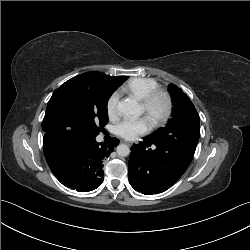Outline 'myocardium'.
I'll list each match as a JSON object with an SVG mask.
<instances>
[{
	"instance_id": "obj_1",
	"label": "myocardium",
	"mask_w": 250,
	"mask_h": 250,
	"mask_svg": "<svg viewBox=\"0 0 250 250\" xmlns=\"http://www.w3.org/2000/svg\"><path fill=\"white\" fill-rule=\"evenodd\" d=\"M161 99L163 101V110L159 114L153 112L155 102ZM144 112L148 115L151 122L155 126H160L166 123L173 112V99L171 94L162 88H156L149 92L142 100Z\"/></svg>"
}]
</instances>
